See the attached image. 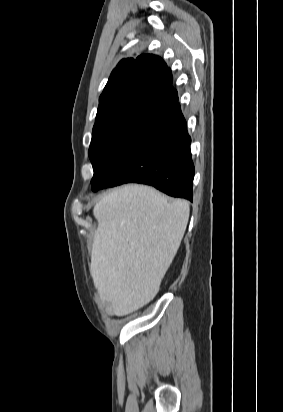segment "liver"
<instances>
[{"mask_svg": "<svg viewBox=\"0 0 283 412\" xmlns=\"http://www.w3.org/2000/svg\"><path fill=\"white\" fill-rule=\"evenodd\" d=\"M190 207L155 189L125 185L94 206L90 272L117 316L130 314L158 293L184 236Z\"/></svg>", "mask_w": 283, "mask_h": 412, "instance_id": "obj_1", "label": "liver"}]
</instances>
